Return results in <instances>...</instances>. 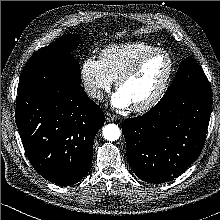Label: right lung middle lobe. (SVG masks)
<instances>
[{"instance_id": "obj_1", "label": "right lung middle lobe", "mask_w": 220, "mask_h": 220, "mask_svg": "<svg viewBox=\"0 0 220 220\" xmlns=\"http://www.w3.org/2000/svg\"><path fill=\"white\" fill-rule=\"evenodd\" d=\"M79 42L78 35H64L35 52L21 73L17 95L80 86L79 63L70 54Z\"/></svg>"}]
</instances>
